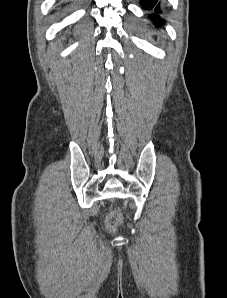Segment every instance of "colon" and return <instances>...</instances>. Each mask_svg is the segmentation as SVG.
<instances>
[{
  "mask_svg": "<svg viewBox=\"0 0 227 298\" xmlns=\"http://www.w3.org/2000/svg\"><path fill=\"white\" fill-rule=\"evenodd\" d=\"M120 215L117 212H112L108 215L105 225L106 229L110 232H113L117 229L120 224Z\"/></svg>",
  "mask_w": 227,
  "mask_h": 298,
  "instance_id": "obj_1",
  "label": "colon"
}]
</instances>
